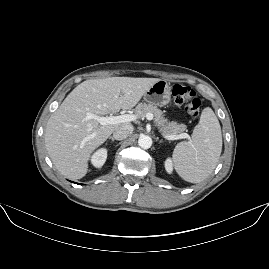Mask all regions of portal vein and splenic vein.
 I'll return each mask as SVG.
<instances>
[{
    "instance_id": "18ae733b",
    "label": "portal vein and splenic vein",
    "mask_w": 269,
    "mask_h": 269,
    "mask_svg": "<svg viewBox=\"0 0 269 269\" xmlns=\"http://www.w3.org/2000/svg\"><path fill=\"white\" fill-rule=\"evenodd\" d=\"M96 117L94 114H91L90 112H87L86 117L83 119L84 121L90 120L92 118ZM146 120L151 121L154 118L153 113L148 112L145 115ZM135 119L134 115H120V116H106V117H100L99 123L103 124V125H114L117 123H121V122H129ZM165 140L168 141H174V140H180V139H184V138H190V136L187 133H182V134H169V135H165L163 137Z\"/></svg>"
}]
</instances>
